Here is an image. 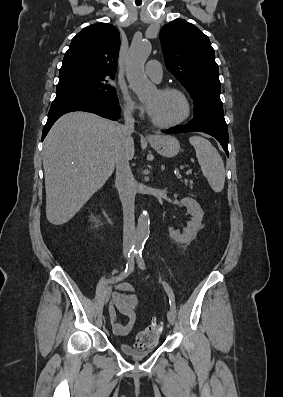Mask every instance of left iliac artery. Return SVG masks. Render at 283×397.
Returning <instances> with one entry per match:
<instances>
[{
    "label": "left iliac artery",
    "mask_w": 283,
    "mask_h": 397,
    "mask_svg": "<svg viewBox=\"0 0 283 397\" xmlns=\"http://www.w3.org/2000/svg\"><path fill=\"white\" fill-rule=\"evenodd\" d=\"M136 260H137V264H138L139 268L144 270L145 262H144L141 250L136 253ZM162 285L169 296L170 309H171V311H173L175 313L176 307H175V298H174L173 291H172L171 287L166 282L162 281Z\"/></svg>",
    "instance_id": "1"
}]
</instances>
